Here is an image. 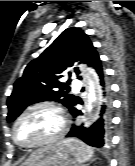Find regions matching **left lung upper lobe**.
<instances>
[{"label": "left lung upper lobe", "instance_id": "1", "mask_svg": "<svg viewBox=\"0 0 135 166\" xmlns=\"http://www.w3.org/2000/svg\"><path fill=\"white\" fill-rule=\"evenodd\" d=\"M97 55L87 34L78 28L64 30L37 59L27 65L23 76L15 82L7 100V121H14L27 106L47 100L62 103L70 109L75 99L68 94L71 80L59 82L61 74L76 61L90 65ZM74 70L80 73L77 67Z\"/></svg>", "mask_w": 135, "mask_h": 166}]
</instances>
